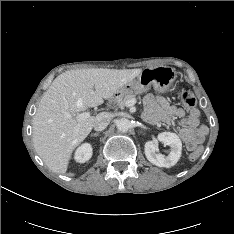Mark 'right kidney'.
<instances>
[{
    "mask_svg": "<svg viewBox=\"0 0 234 234\" xmlns=\"http://www.w3.org/2000/svg\"><path fill=\"white\" fill-rule=\"evenodd\" d=\"M92 157V146L89 143H84L79 146L75 152L74 159L78 163H85Z\"/></svg>",
    "mask_w": 234,
    "mask_h": 234,
    "instance_id": "ca27d5eb",
    "label": "right kidney"
}]
</instances>
